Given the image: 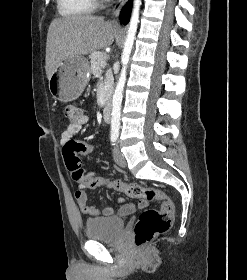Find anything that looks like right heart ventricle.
Here are the masks:
<instances>
[{"mask_svg": "<svg viewBox=\"0 0 247 280\" xmlns=\"http://www.w3.org/2000/svg\"><path fill=\"white\" fill-rule=\"evenodd\" d=\"M57 8L64 17L89 14L95 8V0H57Z\"/></svg>", "mask_w": 247, "mask_h": 280, "instance_id": "1", "label": "right heart ventricle"}]
</instances>
